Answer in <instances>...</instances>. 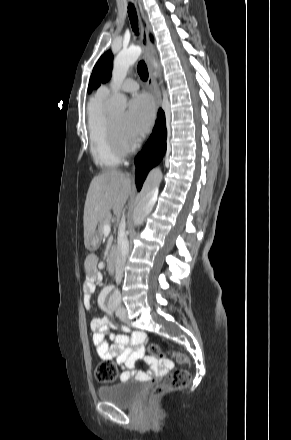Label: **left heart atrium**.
Masks as SVG:
<instances>
[{"instance_id":"obj_1","label":"left heart atrium","mask_w":291,"mask_h":440,"mask_svg":"<svg viewBox=\"0 0 291 440\" xmlns=\"http://www.w3.org/2000/svg\"><path fill=\"white\" fill-rule=\"evenodd\" d=\"M153 115V104L147 95L133 97L124 118V129L127 138L134 141L145 135L150 129Z\"/></svg>"}]
</instances>
